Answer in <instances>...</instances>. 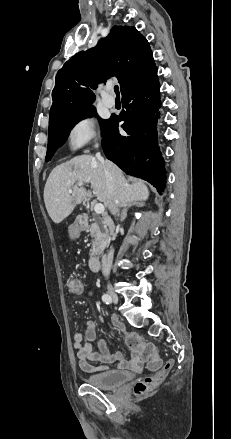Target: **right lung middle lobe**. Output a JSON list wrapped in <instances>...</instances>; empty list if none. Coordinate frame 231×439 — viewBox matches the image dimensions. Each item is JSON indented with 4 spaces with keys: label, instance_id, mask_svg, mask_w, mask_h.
Listing matches in <instances>:
<instances>
[{
    "label": "right lung middle lobe",
    "instance_id": "obj_1",
    "mask_svg": "<svg viewBox=\"0 0 231 439\" xmlns=\"http://www.w3.org/2000/svg\"><path fill=\"white\" fill-rule=\"evenodd\" d=\"M95 115V108L86 109L74 116L63 119L51 126H49V137H48V145H47V154L45 161L48 162L51 160L57 148L64 144L67 140L70 130L74 127V125L80 120L91 117ZM102 127V135L105 132L108 126V120H99Z\"/></svg>",
    "mask_w": 231,
    "mask_h": 439
}]
</instances>
